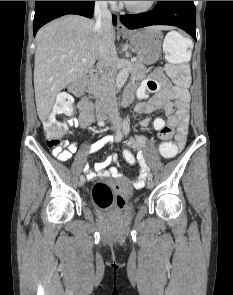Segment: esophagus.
Masks as SVG:
<instances>
[{"label": "esophagus", "instance_id": "esophagus-1", "mask_svg": "<svg viewBox=\"0 0 233 295\" xmlns=\"http://www.w3.org/2000/svg\"><path fill=\"white\" fill-rule=\"evenodd\" d=\"M117 30L119 32H127L128 29L123 25V23L120 21L119 17H118V22H117Z\"/></svg>", "mask_w": 233, "mask_h": 295}]
</instances>
